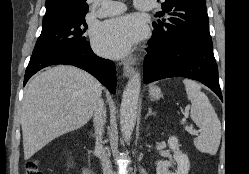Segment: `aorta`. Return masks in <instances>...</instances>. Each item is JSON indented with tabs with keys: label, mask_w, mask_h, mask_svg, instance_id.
Masks as SVG:
<instances>
[{
	"label": "aorta",
	"mask_w": 249,
	"mask_h": 174,
	"mask_svg": "<svg viewBox=\"0 0 249 174\" xmlns=\"http://www.w3.org/2000/svg\"><path fill=\"white\" fill-rule=\"evenodd\" d=\"M140 87V73L136 72L129 79L125 87L120 107V127L127 142L130 140L136 124Z\"/></svg>",
	"instance_id": "1"
}]
</instances>
